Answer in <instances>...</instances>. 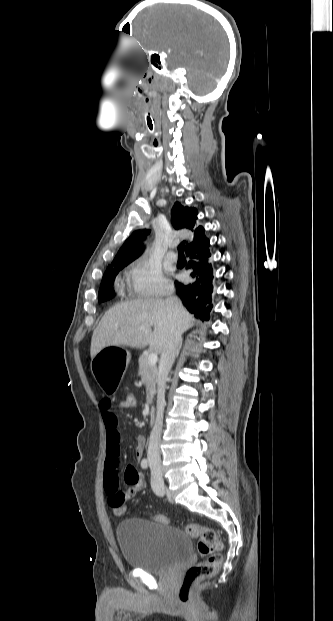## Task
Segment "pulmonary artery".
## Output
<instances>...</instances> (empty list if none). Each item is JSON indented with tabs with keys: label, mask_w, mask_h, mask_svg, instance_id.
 <instances>
[{
	"label": "pulmonary artery",
	"mask_w": 333,
	"mask_h": 621,
	"mask_svg": "<svg viewBox=\"0 0 333 621\" xmlns=\"http://www.w3.org/2000/svg\"><path fill=\"white\" fill-rule=\"evenodd\" d=\"M166 258H167L169 261L174 262V261H176V260H177V258H178V257H177V254H176L175 252H173L172 250H170V251H168V252H167V254H166Z\"/></svg>",
	"instance_id": "obj_1"
}]
</instances>
